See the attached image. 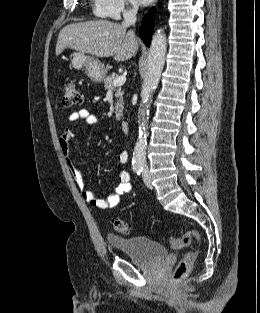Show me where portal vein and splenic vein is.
Here are the masks:
<instances>
[{
    "label": "portal vein and splenic vein",
    "mask_w": 260,
    "mask_h": 313,
    "mask_svg": "<svg viewBox=\"0 0 260 313\" xmlns=\"http://www.w3.org/2000/svg\"><path fill=\"white\" fill-rule=\"evenodd\" d=\"M126 82V74H122L113 80V86H122Z\"/></svg>",
    "instance_id": "1"
}]
</instances>
